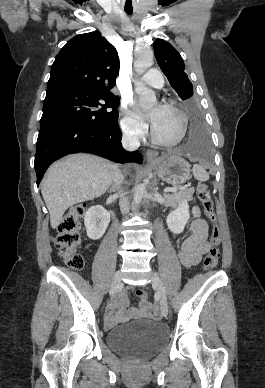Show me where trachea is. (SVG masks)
Returning a JSON list of instances; mask_svg holds the SVG:
<instances>
[{
    "label": "trachea",
    "mask_w": 265,
    "mask_h": 388,
    "mask_svg": "<svg viewBox=\"0 0 265 388\" xmlns=\"http://www.w3.org/2000/svg\"><path fill=\"white\" fill-rule=\"evenodd\" d=\"M125 12L128 14V15H131L133 13V10H125Z\"/></svg>",
    "instance_id": "trachea-1"
}]
</instances>
